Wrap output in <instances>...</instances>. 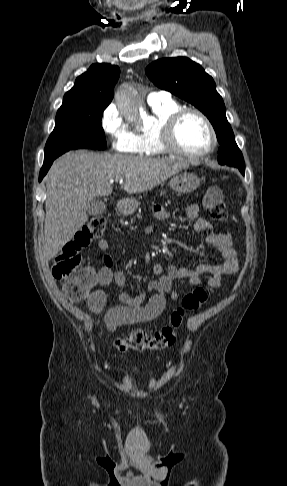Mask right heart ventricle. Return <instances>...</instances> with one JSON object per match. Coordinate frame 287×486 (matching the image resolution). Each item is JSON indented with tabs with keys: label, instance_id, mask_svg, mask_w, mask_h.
I'll list each match as a JSON object with an SVG mask.
<instances>
[{
	"label": "right heart ventricle",
	"instance_id": "obj_1",
	"mask_svg": "<svg viewBox=\"0 0 287 486\" xmlns=\"http://www.w3.org/2000/svg\"><path fill=\"white\" fill-rule=\"evenodd\" d=\"M150 107L157 118V123L148 130L135 133L137 140V149L135 153L147 157L163 156L167 154V152L163 149L159 141V127L172 113L181 107L172 99L150 104Z\"/></svg>",
	"mask_w": 287,
	"mask_h": 486
}]
</instances>
